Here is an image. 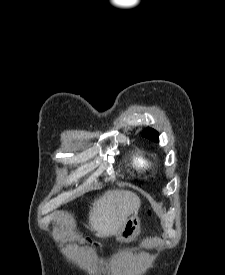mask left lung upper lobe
<instances>
[{"label":"left lung upper lobe","instance_id":"5c2ea615","mask_svg":"<svg viewBox=\"0 0 225 275\" xmlns=\"http://www.w3.org/2000/svg\"><path fill=\"white\" fill-rule=\"evenodd\" d=\"M144 137L151 139L152 141L158 142V133L153 129H145L142 133Z\"/></svg>","mask_w":225,"mask_h":275}]
</instances>
